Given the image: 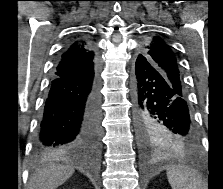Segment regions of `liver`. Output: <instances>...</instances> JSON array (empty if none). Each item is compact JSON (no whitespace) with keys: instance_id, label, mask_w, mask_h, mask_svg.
I'll list each match as a JSON object with an SVG mask.
<instances>
[{"instance_id":"6515ba94","label":"liver","mask_w":223,"mask_h":189,"mask_svg":"<svg viewBox=\"0 0 223 189\" xmlns=\"http://www.w3.org/2000/svg\"><path fill=\"white\" fill-rule=\"evenodd\" d=\"M74 173L70 165H50L36 170L29 180L28 189H56Z\"/></svg>"}]
</instances>
